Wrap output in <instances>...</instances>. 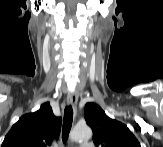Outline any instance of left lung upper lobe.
<instances>
[{
	"label": "left lung upper lobe",
	"instance_id": "obj_1",
	"mask_svg": "<svg viewBox=\"0 0 163 147\" xmlns=\"http://www.w3.org/2000/svg\"><path fill=\"white\" fill-rule=\"evenodd\" d=\"M84 117L93 130L96 147H141L125 124L109 118L98 105L88 103Z\"/></svg>",
	"mask_w": 163,
	"mask_h": 147
}]
</instances>
